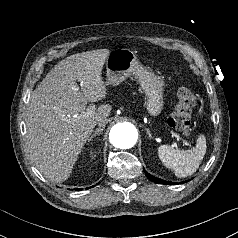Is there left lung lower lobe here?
Wrapping results in <instances>:
<instances>
[{"mask_svg":"<svg viewBox=\"0 0 238 238\" xmlns=\"http://www.w3.org/2000/svg\"><path fill=\"white\" fill-rule=\"evenodd\" d=\"M144 172H145V174H146V176L148 177V179H150L151 181H153V182H155V183H157V184H166V185H168V184H177V183H172V182H168V181H164V180H162V179H159V178H156V177H154V176H152V175H150L147 171H145L144 170Z\"/></svg>","mask_w":238,"mask_h":238,"instance_id":"obj_1","label":"left lung lower lobe"}]
</instances>
